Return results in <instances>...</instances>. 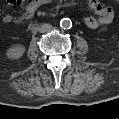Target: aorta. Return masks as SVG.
Listing matches in <instances>:
<instances>
[{"instance_id": "obj_1", "label": "aorta", "mask_w": 119, "mask_h": 119, "mask_svg": "<svg viewBox=\"0 0 119 119\" xmlns=\"http://www.w3.org/2000/svg\"><path fill=\"white\" fill-rule=\"evenodd\" d=\"M60 26L63 29H70L72 27V22L69 18H63L60 20Z\"/></svg>"}]
</instances>
